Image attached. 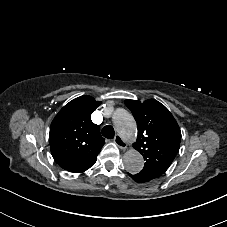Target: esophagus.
<instances>
[{
  "mask_svg": "<svg viewBox=\"0 0 227 227\" xmlns=\"http://www.w3.org/2000/svg\"><path fill=\"white\" fill-rule=\"evenodd\" d=\"M114 142L121 149H127L128 148L127 141L119 134L115 135Z\"/></svg>",
  "mask_w": 227,
  "mask_h": 227,
  "instance_id": "1",
  "label": "esophagus"
}]
</instances>
